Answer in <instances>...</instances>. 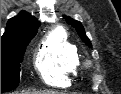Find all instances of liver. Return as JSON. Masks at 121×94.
<instances>
[{
    "label": "liver",
    "mask_w": 121,
    "mask_h": 94,
    "mask_svg": "<svg viewBox=\"0 0 121 94\" xmlns=\"http://www.w3.org/2000/svg\"><path fill=\"white\" fill-rule=\"evenodd\" d=\"M42 94H57V93L52 92V91H47V92H43Z\"/></svg>",
    "instance_id": "6515ba94"
}]
</instances>
